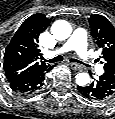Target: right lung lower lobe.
Listing matches in <instances>:
<instances>
[{
    "label": "right lung lower lobe",
    "mask_w": 115,
    "mask_h": 119,
    "mask_svg": "<svg viewBox=\"0 0 115 119\" xmlns=\"http://www.w3.org/2000/svg\"><path fill=\"white\" fill-rule=\"evenodd\" d=\"M53 66L36 70L21 79L10 82V87L15 92L23 95H29L42 89L45 80V74L52 69Z\"/></svg>",
    "instance_id": "obj_1"
}]
</instances>
